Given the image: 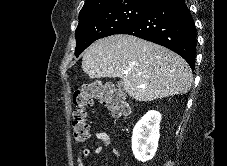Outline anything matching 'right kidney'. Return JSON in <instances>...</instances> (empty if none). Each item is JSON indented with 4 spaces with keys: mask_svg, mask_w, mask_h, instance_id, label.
<instances>
[{
    "mask_svg": "<svg viewBox=\"0 0 227 166\" xmlns=\"http://www.w3.org/2000/svg\"><path fill=\"white\" fill-rule=\"evenodd\" d=\"M161 117L160 112L150 110L135 125L132 151L137 160L146 162L154 157L160 138Z\"/></svg>",
    "mask_w": 227,
    "mask_h": 166,
    "instance_id": "ca27d5eb",
    "label": "right kidney"
}]
</instances>
